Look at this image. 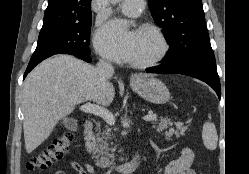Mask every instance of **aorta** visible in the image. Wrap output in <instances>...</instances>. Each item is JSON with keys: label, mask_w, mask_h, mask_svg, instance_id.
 <instances>
[{"label": "aorta", "mask_w": 249, "mask_h": 174, "mask_svg": "<svg viewBox=\"0 0 249 174\" xmlns=\"http://www.w3.org/2000/svg\"><path fill=\"white\" fill-rule=\"evenodd\" d=\"M112 3L116 4L119 3L121 0H110Z\"/></svg>", "instance_id": "762f6f07"}]
</instances>
